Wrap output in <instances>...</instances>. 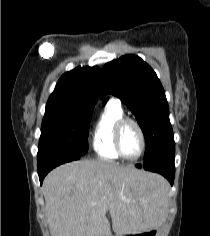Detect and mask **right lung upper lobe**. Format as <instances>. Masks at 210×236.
<instances>
[{
  "label": "right lung upper lobe",
  "mask_w": 210,
  "mask_h": 236,
  "mask_svg": "<svg viewBox=\"0 0 210 236\" xmlns=\"http://www.w3.org/2000/svg\"><path fill=\"white\" fill-rule=\"evenodd\" d=\"M98 67H78L65 73L58 81L47 105H66L76 109H92L99 92Z\"/></svg>",
  "instance_id": "cb5924a9"
}]
</instances>
